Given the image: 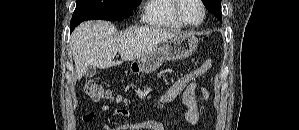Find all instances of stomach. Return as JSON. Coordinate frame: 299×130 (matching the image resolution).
I'll return each mask as SVG.
<instances>
[{"label":"stomach","instance_id":"obj_1","mask_svg":"<svg viewBox=\"0 0 299 130\" xmlns=\"http://www.w3.org/2000/svg\"><path fill=\"white\" fill-rule=\"evenodd\" d=\"M198 46V39L191 33L178 36L163 42L148 54L134 60L130 71L135 74H148L158 69L164 61H174L192 55Z\"/></svg>","mask_w":299,"mask_h":130}]
</instances>
